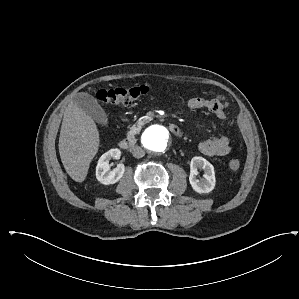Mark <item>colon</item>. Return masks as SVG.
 <instances>
[{"mask_svg":"<svg viewBox=\"0 0 299 299\" xmlns=\"http://www.w3.org/2000/svg\"><path fill=\"white\" fill-rule=\"evenodd\" d=\"M149 88L145 85H138L130 88H111L102 89L98 92L99 100L110 106H120L131 103L132 101L145 96ZM241 166V162L237 158L229 161V167L232 170H237Z\"/></svg>","mask_w":299,"mask_h":299,"instance_id":"colon-1","label":"colon"}]
</instances>
